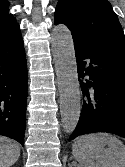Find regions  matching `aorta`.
Listing matches in <instances>:
<instances>
[{
  "mask_svg": "<svg viewBox=\"0 0 125 167\" xmlns=\"http://www.w3.org/2000/svg\"><path fill=\"white\" fill-rule=\"evenodd\" d=\"M52 53L60 93L62 126L66 133H72L80 117L81 95L72 35L63 24L53 28Z\"/></svg>",
  "mask_w": 125,
  "mask_h": 167,
  "instance_id": "762f6f07",
  "label": "aorta"
}]
</instances>
